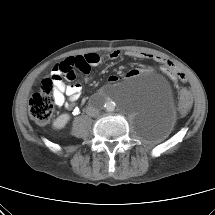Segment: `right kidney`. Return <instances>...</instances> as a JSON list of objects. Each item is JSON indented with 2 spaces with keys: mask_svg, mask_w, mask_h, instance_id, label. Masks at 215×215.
I'll list each match as a JSON object with an SVG mask.
<instances>
[{
  "mask_svg": "<svg viewBox=\"0 0 215 215\" xmlns=\"http://www.w3.org/2000/svg\"><path fill=\"white\" fill-rule=\"evenodd\" d=\"M70 120L69 114H61L58 118H56L53 122V127L55 129H62L66 126L68 121Z\"/></svg>",
  "mask_w": 215,
  "mask_h": 215,
  "instance_id": "obj_1",
  "label": "right kidney"
}]
</instances>
